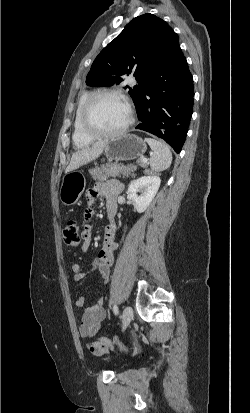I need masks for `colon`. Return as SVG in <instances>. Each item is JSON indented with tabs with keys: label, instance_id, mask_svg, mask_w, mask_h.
Masks as SVG:
<instances>
[{
	"label": "colon",
	"instance_id": "colon-1",
	"mask_svg": "<svg viewBox=\"0 0 250 413\" xmlns=\"http://www.w3.org/2000/svg\"><path fill=\"white\" fill-rule=\"evenodd\" d=\"M146 175L150 177H157L159 175V170L157 168L147 169ZM63 238L69 246H78L82 239V231L80 230L79 224L75 221H69L63 230ZM114 343L115 341L113 339L102 337L95 340L92 345L95 348H109Z\"/></svg>",
	"mask_w": 250,
	"mask_h": 413
}]
</instances>
